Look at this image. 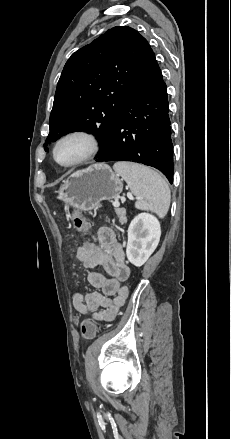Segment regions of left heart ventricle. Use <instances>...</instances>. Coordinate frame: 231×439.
<instances>
[{
	"label": "left heart ventricle",
	"instance_id": "left-heart-ventricle-1",
	"mask_svg": "<svg viewBox=\"0 0 231 439\" xmlns=\"http://www.w3.org/2000/svg\"><path fill=\"white\" fill-rule=\"evenodd\" d=\"M89 150V143L82 137H72L63 141L57 149V159L63 164L71 163Z\"/></svg>",
	"mask_w": 231,
	"mask_h": 439
}]
</instances>
